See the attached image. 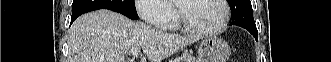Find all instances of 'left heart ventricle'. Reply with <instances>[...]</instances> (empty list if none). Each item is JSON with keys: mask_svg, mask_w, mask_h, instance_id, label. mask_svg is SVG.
I'll list each match as a JSON object with an SVG mask.
<instances>
[{"mask_svg": "<svg viewBox=\"0 0 331 62\" xmlns=\"http://www.w3.org/2000/svg\"><path fill=\"white\" fill-rule=\"evenodd\" d=\"M182 9L190 24L206 29L218 26L223 17L218 0L182 1Z\"/></svg>", "mask_w": 331, "mask_h": 62, "instance_id": "1", "label": "left heart ventricle"}]
</instances>
